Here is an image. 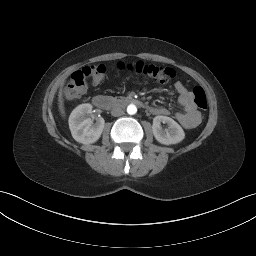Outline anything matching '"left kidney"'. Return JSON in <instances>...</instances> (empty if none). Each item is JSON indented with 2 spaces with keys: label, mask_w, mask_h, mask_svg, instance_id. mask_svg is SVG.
<instances>
[{
  "label": "left kidney",
  "mask_w": 256,
  "mask_h": 256,
  "mask_svg": "<svg viewBox=\"0 0 256 256\" xmlns=\"http://www.w3.org/2000/svg\"><path fill=\"white\" fill-rule=\"evenodd\" d=\"M161 123H166L168 129L163 130ZM152 131L155 139L164 145L177 144L185 137L182 127L167 116H156L153 119Z\"/></svg>",
  "instance_id": "1"
}]
</instances>
